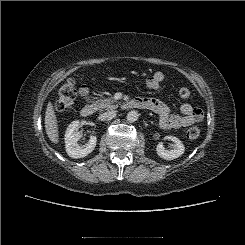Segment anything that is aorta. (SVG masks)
Returning <instances> with one entry per match:
<instances>
[{
	"instance_id": "1",
	"label": "aorta",
	"mask_w": 245,
	"mask_h": 245,
	"mask_svg": "<svg viewBox=\"0 0 245 245\" xmlns=\"http://www.w3.org/2000/svg\"><path fill=\"white\" fill-rule=\"evenodd\" d=\"M138 117H139L138 112L135 110H132L127 114L126 119L128 122H135L137 121Z\"/></svg>"
}]
</instances>
